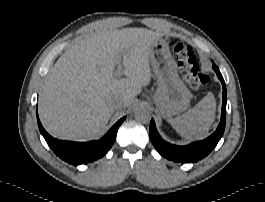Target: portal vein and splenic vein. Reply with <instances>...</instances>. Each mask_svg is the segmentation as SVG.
I'll use <instances>...</instances> for the list:
<instances>
[{"label":"portal vein and splenic vein","mask_w":265,"mask_h":202,"mask_svg":"<svg viewBox=\"0 0 265 202\" xmlns=\"http://www.w3.org/2000/svg\"><path fill=\"white\" fill-rule=\"evenodd\" d=\"M122 64H121V57L118 58L117 60V70L115 72V76L119 77L122 75Z\"/></svg>","instance_id":"18ae733b"}]
</instances>
